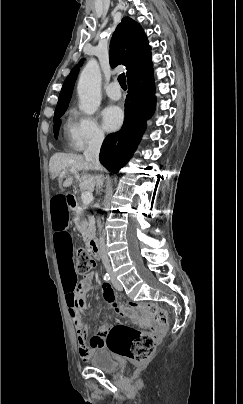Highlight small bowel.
Masks as SVG:
<instances>
[{
  "mask_svg": "<svg viewBox=\"0 0 243 404\" xmlns=\"http://www.w3.org/2000/svg\"><path fill=\"white\" fill-rule=\"evenodd\" d=\"M50 218L68 312L77 332L79 355L81 359L88 360L96 349L105 346L104 334L107 332V326H101L98 335L87 339V326L81 321L79 313L86 307L85 296L91 288L94 274L88 273L82 281L77 280L72 239L68 231V199L65 193L58 192L52 196ZM103 296L117 314H123L124 310L116 303L115 292L108 284L103 286Z\"/></svg>",
  "mask_w": 243,
  "mask_h": 404,
  "instance_id": "c3829d8e",
  "label": "small bowel"
}]
</instances>
